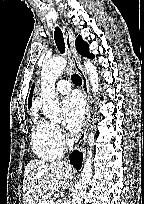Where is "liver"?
<instances>
[{"label": "liver", "instance_id": "6515ba94", "mask_svg": "<svg viewBox=\"0 0 144 204\" xmlns=\"http://www.w3.org/2000/svg\"><path fill=\"white\" fill-rule=\"evenodd\" d=\"M74 169L66 162L31 160L26 165L23 179V203L37 204L48 190L70 187Z\"/></svg>", "mask_w": 144, "mask_h": 204}]
</instances>
